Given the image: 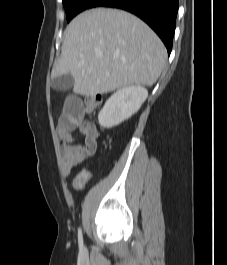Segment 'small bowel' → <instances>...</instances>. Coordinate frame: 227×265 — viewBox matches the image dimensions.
Listing matches in <instances>:
<instances>
[{
    "label": "small bowel",
    "mask_w": 227,
    "mask_h": 265,
    "mask_svg": "<svg viewBox=\"0 0 227 265\" xmlns=\"http://www.w3.org/2000/svg\"><path fill=\"white\" fill-rule=\"evenodd\" d=\"M68 95V99H63L64 111L59 120L57 133L66 174H70L77 165L96 154L99 138L96 125L83 117L86 108L81 96H74V91H69ZM74 132L85 136L84 146L74 143ZM89 179V171L83 169L74 176L72 180L73 189L76 191L82 190Z\"/></svg>",
    "instance_id": "1"
}]
</instances>
